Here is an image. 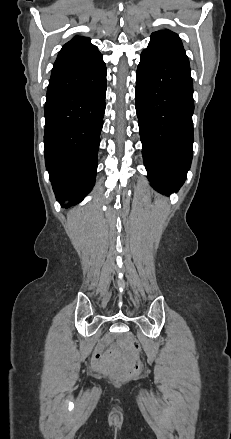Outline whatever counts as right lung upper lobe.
Returning <instances> with one entry per match:
<instances>
[{"instance_id": "1", "label": "right lung upper lobe", "mask_w": 231, "mask_h": 439, "mask_svg": "<svg viewBox=\"0 0 231 439\" xmlns=\"http://www.w3.org/2000/svg\"><path fill=\"white\" fill-rule=\"evenodd\" d=\"M97 47L87 37H75L60 50L51 77L63 75L86 67L101 57Z\"/></svg>"}]
</instances>
